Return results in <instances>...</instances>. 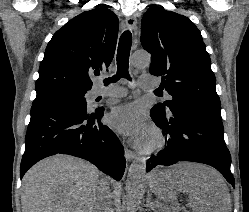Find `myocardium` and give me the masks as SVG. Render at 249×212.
<instances>
[{"label":"myocardium","mask_w":249,"mask_h":212,"mask_svg":"<svg viewBox=\"0 0 249 212\" xmlns=\"http://www.w3.org/2000/svg\"><path fill=\"white\" fill-rule=\"evenodd\" d=\"M150 140L144 145L143 151L151 154L162 150L166 145V139L163 132L156 126L151 125L148 129Z\"/></svg>","instance_id":"1"}]
</instances>
